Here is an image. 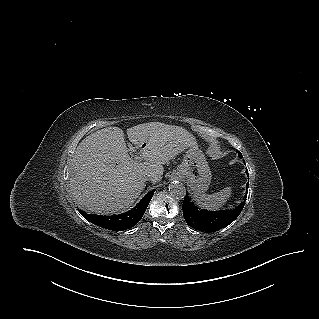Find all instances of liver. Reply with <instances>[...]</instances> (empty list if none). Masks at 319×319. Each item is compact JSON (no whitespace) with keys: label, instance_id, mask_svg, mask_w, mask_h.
I'll use <instances>...</instances> for the list:
<instances>
[{"label":"liver","instance_id":"1","mask_svg":"<svg viewBox=\"0 0 319 319\" xmlns=\"http://www.w3.org/2000/svg\"><path fill=\"white\" fill-rule=\"evenodd\" d=\"M127 136L145 162L130 158L119 127L100 129L76 148L71 163L70 191L79 207L110 215L133 205L145 187L143 177L162 179L163 164L189 147H197L186 129L160 122L139 124L127 129Z\"/></svg>","mask_w":319,"mask_h":319}]
</instances>
